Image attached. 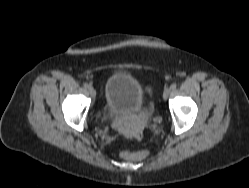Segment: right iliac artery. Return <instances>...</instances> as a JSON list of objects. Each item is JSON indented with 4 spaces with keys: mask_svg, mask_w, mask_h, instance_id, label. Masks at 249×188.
Wrapping results in <instances>:
<instances>
[{
    "mask_svg": "<svg viewBox=\"0 0 249 188\" xmlns=\"http://www.w3.org/2000/svg\"><path fill=\"white\" fill-rule=\"evenodd\" d=\"M91 85L90 84H88V83H84V87H86V88H89Z\"/></svg>",
    "mask_w": 249,
    "mask_h": 188,
    "instance_id": "1",
    "label": "right iliac artery"
}]
</instances>
